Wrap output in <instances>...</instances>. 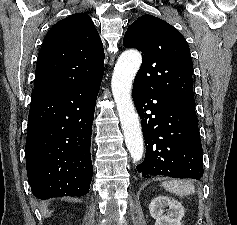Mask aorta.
<instances>
[{
  "label": "aorta",
  "instance_id": "obj_1",
  "mask_svg": "<svg viewBox=\"0 0 237 225\" xmlns=\"http://www.w3.org/2000/svg\"><path fill=\"white\" fill-rule=\"evenodd\" d=\"M141 62L142 57L138 51H124L118 58L111 80L112 94L118 110L125 144L136 162L143 157L144 142L140 120L132 101L131 89Z\"/></svg>",
  "mask_w": 237,
  "mask_h": 225
}]
</instances>
